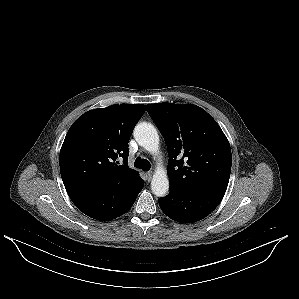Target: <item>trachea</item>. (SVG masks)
I'll return each mask as SVG.
<instances>
[{
    "instance_id": "1",
    "label": "trachea",
    "mask_w": 299,
    "mask_h": 299,
    "mask_svg": "<svg viewBox=\"0 0 299 299\" xmlns=\"http://www.w3.org/2000/svg\"><path fill=\"white\" fill-rule=\"evenodd\" d=\"M134 166L136 168H140L144 171H149L151 168L150 162L146 159H141L140 157L136 158V160L134 162Z\"/></svg>"
}]
</instances>
